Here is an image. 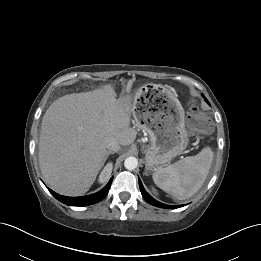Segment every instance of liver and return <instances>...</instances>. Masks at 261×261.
<instances>
[{"label":"liver","instance_id":"obj_1","mask_svg":"<svg viewBox=\"0 0 261 261\" xmlns=\"http://www.w3.org/2000/svg\"><path fill=\"white\" fill-rule=\"evenodd\" d=\"M130 98L117 100L110 85L54 101L43 116L39 163L47 185L57 193L77 196L92 186L105 163L104 141L134 142Z\"/></svg>","mask_w":261,"mask_h":261}]
</instances>
